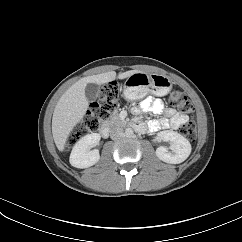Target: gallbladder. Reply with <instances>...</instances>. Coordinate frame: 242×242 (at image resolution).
<instances>
[{
    "instance_id": "gallbladder-1",
    "label": "gallbladder",
    "mask_w": 242,
    "mask_h": 242,
    "mask_svg": "<svg viewBox=\"0 0 242 242\" xmlns=\"http://www.w3.org/2000/svg\"><path fill=\"white\" fill-rule=\"evenodd\" d=\"M100 88L97 84L89 83L85 88L86 97L89 101H94L99 94Z\"/></svg>"
}]
</instances>
